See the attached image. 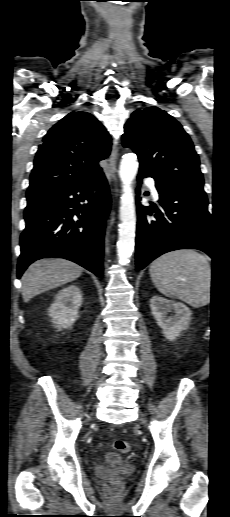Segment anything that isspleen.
I'll use <instances>...</instances> for the list:
<instances>
[{
    "instance_id": "1",
    "label": "spleen",
    "mask_w": 230,
    "mask_h": 517,
    "mask_svg": "<svg viewBox=\"0 0 230 517\" xmlns=\"http://www.w3.org/2000/svg\"><path fill=\"white\" fill-rule=\"evenodd\" d=\"M150 276L165 296L180 299L193 307L210 302L211 266L193 250L166 253L152 262Z\"/></svg>"
}]
</instances>
